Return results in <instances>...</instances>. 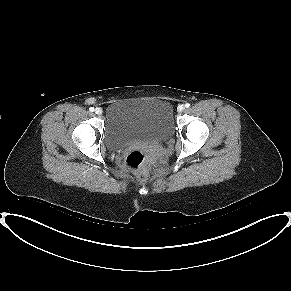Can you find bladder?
Returning a JSON list of instances; mask_svg holds the SVG:
<instances>
[{
	"mask_svg": "<svg viewBox=\"0 0 291 291\" xmlns=\"http://www.w3.org/2000/svg\"><path fill=\"white\" fill-rule=\"evenodd\" d=\"M174 127L172 106L165 99L121 100L106 108L105 139L112 150L137 139L162 140L171 135Z\"/></svg>",
	"mask_w": 291,
	"mask_h": 291,
	"instance_id": "obj_1",
	"label": "bladder"
}]
</instances>
